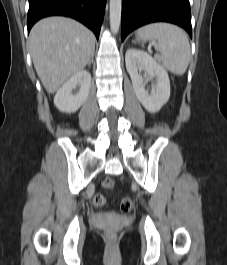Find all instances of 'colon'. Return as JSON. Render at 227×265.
I'll return each mask as SVG.
<instances>
[{"label": "colon", "instance_id": "1", "mask_svg": "<svg viewBox=\"0 0 227 265\" xmlns=\"http://www.w3.org/2000/svg\"><path fill=\"white\" fill-rule=\"evenodd\" d=\"M102 184L105 188L110 189L114 186V181L111 178H105ZM93 204L96 207L102 208L106 205V199L103 195L97 193L93 196ZM120 209L124 213L131 212L134 209V201L129 197L122 199L120 203ZM106 238L108 241L113 242L116 239V236L114 233L108 232L106 234Z\"/></svg>", "mask_w": 227, "mask_h": 265}]
</instances>
